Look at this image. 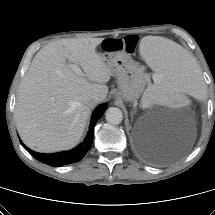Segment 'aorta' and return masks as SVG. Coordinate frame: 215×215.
Segmentation results:
<instances>
[{
  "instance_id": "aorta-1",
  "label": "aorta",
  "mask_w": 215,
  "mask_h": 215,
  "mask_svg": "<svg viewBox=\"0 0 215 215\" xmlns=\"http://www.w3.org/2000/svg\"><path fill=\"white\" fill-rule=\"evenodd\" d=\"M106 121L112 125H118L123 120L122 111L117 107H110L105 113Z\"/></svg>"
}]
</instances>
